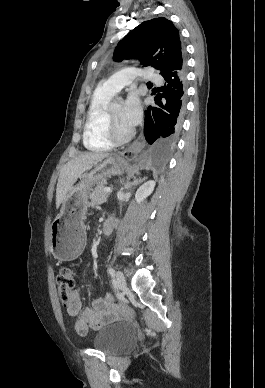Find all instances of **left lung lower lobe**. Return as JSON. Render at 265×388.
Returning <instances> with one entry per match:
<instances>
[{
	"label": "left lung lower lobe",
	"instance_id": "left-lung-lower-lobe-1",
	"mask_svg": "<svg viewBox=\"0 0 265 388\" xmlns=\"http://www.w3.org/2000/svg\"><path fill=\"white\" fill-rule=\"evenodd\" d=\"M165 84L157 88L155 103L146 111L144 135L150 147L148 162L163 168L182 126L186 103V69L172 71L163 76ZM155 94V93H153Z\"/></svg>",
	"mask_w": 265,
	"mask_h": 388
}]
</instances>
